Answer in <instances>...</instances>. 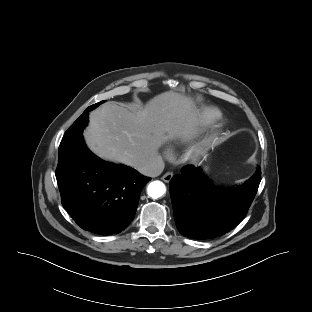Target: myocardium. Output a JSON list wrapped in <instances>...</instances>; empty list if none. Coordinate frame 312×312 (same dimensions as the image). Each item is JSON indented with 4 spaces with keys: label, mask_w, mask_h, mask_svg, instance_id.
<instances>
[{
    "label": "myocardium",
    "mask_w": 312,
    "mask_h": 312,
    "mask_svg": "<svg viewBox=\"0 0 312 312\" xmlns=\"http://www.w3.org/2000/svg\"><path fill=\"white\" fill-rule=\"evenodd\" d=\"M200 154V151H198L197 153H196V155H199Z\"/></svg>",
    "instance_id": "myocardium-1"
}]
</instances>
